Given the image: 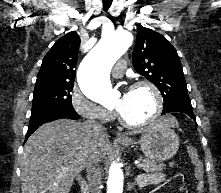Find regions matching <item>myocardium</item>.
Instances as JSON below:
<instances>
[{
    "label": "myocardium",
    "instance_id": "f54148a6",
    "mask_svg": "<svg viewBox=\"0 0 221 193\" xmlns=\"http://www.w3.org/2000/svg\"><path fill=\"white\" fill-rule=\"evenodd\" d=\"M139 88H147L152 92L154 99H155V108H154L153 113L148 119L144 121H140V122H131L127 120L123 116V114L119 111V109H117V116H118L120 123L123 126L128 127V128H144L153 124L158 119L163 109V97H162L161 91L155 84H153L152 82L148 80H140V81L135 82L131 86V90L139 89Z\"/></svg>",
    "mask_w": 221,
    "mask_h": 193
}]
</instances>
